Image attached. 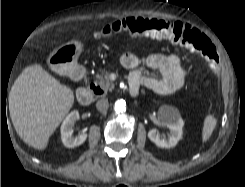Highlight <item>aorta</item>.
I'll list each match as a JSON object with an SVG mask.
<instances>
[{
	"instance_id": "1",
	"label": "aorta",
	"mask_w": 245,
	"mask_h": 187,
	"mask_svg": "<svg viewBox=\"0 0 245 187\" xmlns=\"http://www.w3.org/2000/svg\"><path fill=\"white\" fill-rule=\"evenodd\" d=\"M114 110L116 113H122L126 110V102L124 100H118L115 102Z\"/></svg>"
}]
</instances>
